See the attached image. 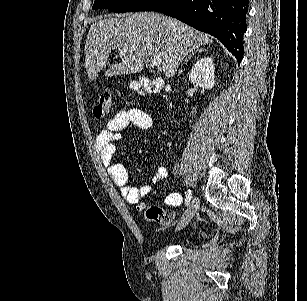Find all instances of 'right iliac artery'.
Returning a JSON list of instances; mask_svg holds the SVG:
<instances>
[{
    "label": "right iliac artery",
    "instance_id": "obj_1",
    "mask_svg": "<svg viewBox=\"0 0 307 301\" xmlns=\"http://www.w3.org/2000/svg\"><path fill=\"white\" fill-rule=\"evenodd\" d=\"M191 198H192V193H191V190H188L186 193H185V203L186 205L188 206L190 201H191Z\"/></svg>",
    "mask_w": 307,
    "mask_h": 301
}]
</instances>
